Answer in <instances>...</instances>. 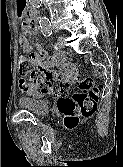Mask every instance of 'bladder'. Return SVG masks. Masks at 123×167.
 I'll return each mask as SVG.
<instances>
[{"instance_id": "bladder-1", "label": "bladder", "mask_w": 123, "mask_h": 167, "mask_svg": "<svg viewBox=\"0 0 123 167\" xmlns=\"http://www.w3.org/2000/svg\"><path fill=\"white\" fill-rule=\"evenodd\" d=\"M19 104L38 117H43L49 112V104L43 99L22 97Z\"/></svg>"}]
</instances>
